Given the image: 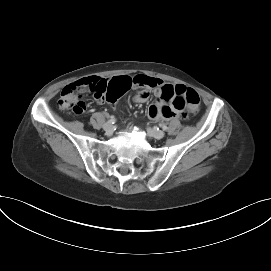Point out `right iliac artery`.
<instances>
[{"label":"right iliac artery","mask_w":271,"mask_h":271,"mask_svg":"<svg viewBox=\"0 0 271 271\" xmlns=\"http://www.w3.org/2000/svg\"><path fill=\"white\" fill-rule=\"evenodd\" d=\"M115 122H116L115 117H111V118L108 120V123H110V124H114Z\"/></svg>","instance_id":"right-iliac-artery-1"}]
</instances>
